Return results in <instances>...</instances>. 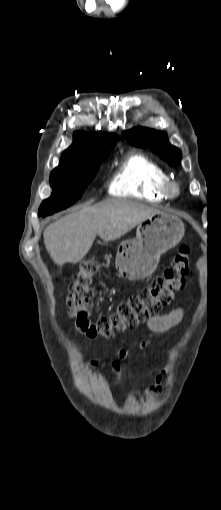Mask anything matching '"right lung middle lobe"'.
<instances>
[{
    "label": "right lung middle lobe",
    "mask_w": 221,
    "mask_h": 510,
    "mask_svg": "<svg viewBox=\"0 0 221 510\" xmlns=\"http://www.w3.org/2000/svg\"><path fill=\"white\" fill-rule=\"evenodd\" d=\"M109 153L110 151L77 162L60 163L50 175L52 194L40 205L39 215L43 217L51 215L71 206L81 198L85 188L96 175L101 161Z\"/></svg>",
    "instance_id": "right-lung-middle-lobe-1"
}]
</instances>
